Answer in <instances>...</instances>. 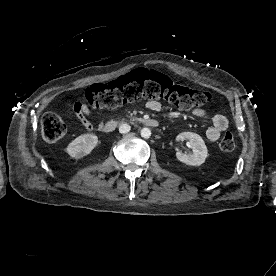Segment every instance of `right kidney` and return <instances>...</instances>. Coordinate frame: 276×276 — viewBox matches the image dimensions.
Returning a JSON list of instances; mask_svg holds the SVG:
<instances>
[{
	"instance_id": "obj_1",
	"label": "right kidney",
	"mask_w": 276,
	"mask_h": 276,
	"mask_svg": "<svg viewBox=\"0 0 276 276\" xmlns=\"http://www.w3.org/2000/svg\"><path fill=\"white\" fill-rule=\"evenodd\" d=\"M98 143L95 134H83L75 138L66 148V152L75 159L88 155Z\"/></svg>"
}]
</instances>
